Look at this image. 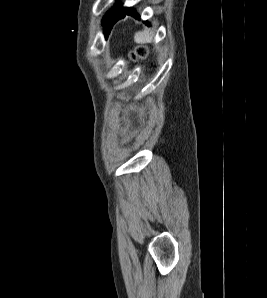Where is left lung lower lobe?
<instances>
[{
    "label": "left lung lower lobe",
    "instance_id": "left-lung-lower-lobe-1",
    "mask_svg": "<svg viewBox=\"0 0 267 298\" xmlns=\"http://www.w3.org/2000/svg\"><path fill=\"white\" fill-rule=\"evenodd\" d=\"M125 15H131L135 18H139V15L134 9L116 6L111 11H109L103 18V23L105 24L104 34L108 35L115 22L121 18H124Z\"/></svg>",
    "mask_w": 267,
    "mask_h": 298
}]
</instances>
